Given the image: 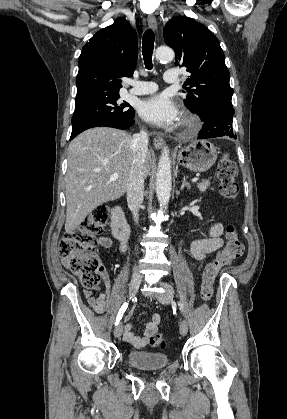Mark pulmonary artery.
Segmentation results:
<instances>
[{"instance_id":"e3ab8cb5","label":"pulmonary artery","mask_w":287,"mask_h":419,"mask_svg":"<svg viewBox=\"0 0 287 419\" xmlns=\"http://www.w3.org/2000/svg\"><path fill=\"white\" fill-rule=\"evenodd\" d=\"M164 81L170 84L178 82V72L176 70H167L164 74ZM129 84L132 86V88L130 89V92L135 95H144V94L153 93L158 88L155 82H150V81L131 80Z\"/></svg>"}]
</instances>
